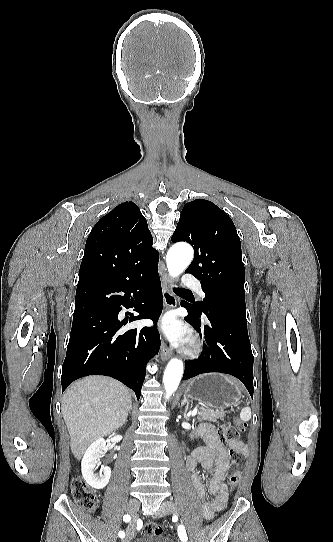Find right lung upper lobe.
<instances>
[{
	"mask_svg": "<svg viewBox=\"0 0 333 542\" xmlns=\"http://www.w3.org/2000/svg\"><path fill=\"white\" fill-rule=\"evenodd\" d=\"M145 217L133 202H124L102 217L90 232L85 249H108L117 254L132 250L158 256ZM129 270L123 266L101 269L80 267L78 285L105 282L109 284L127 280Z\"/></svg>",
	"mask_w": 333,
	"mask_h": 542,
	"instance_id": "1",
	"label": "right lung upper lobe"
}]
</instances>
